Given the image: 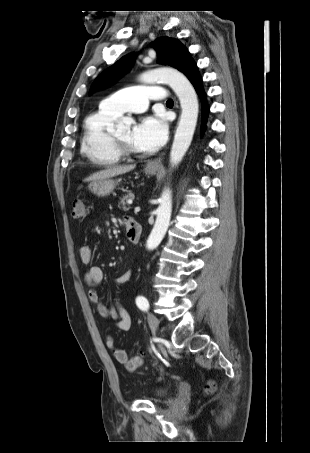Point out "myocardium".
I'll list each match as a JSON object with an SVG mask.
<instances>
[{
  "instance_id": "1",
  "label": "myocardium",
  "mask_w": 310,
  "mask_h": 453,
  "mask_svg": "<svg viewBox=\"0 0 310 453\" xmlns=\"http://www.w3.org/2000/svg\"><path fill=\"white\" fill-rule=\"evenodd\" d=\"M111 144L122 158L138 157L140 153L121 141L114 133H111Z\"/></svg>"
}]
</instances>
